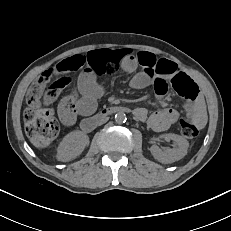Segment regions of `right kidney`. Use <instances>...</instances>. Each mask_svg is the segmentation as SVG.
<instances>
[{
	"label": "right kidney",
	"mask_w": 231,
	"mask_h": 231,
	"mask_svg": "<svg viewBox=\"0 0 231 231\" xmlns=\"http://www.w3.org/2000/svg\"><path fill=\"white\" fill-rule=\"evenodd\" d=\"M89 144V137L82 131L68 133L60 142L57 149V159L62 162L73 160L80 155Z\"/></svg>",
	"instance_id": "obj_1"
}]
</instances>
